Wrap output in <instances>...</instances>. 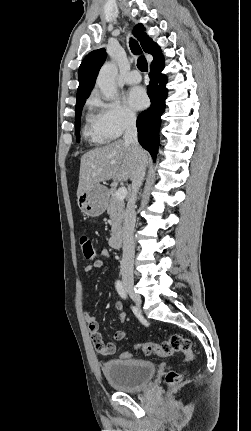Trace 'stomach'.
Segmentation results:
<instances>
[{"label":"stomach","mask_w":251,"mask_h":431,"mask_svg":"<svg viewBox=\"0 0 251 431\" xmlns=\"http://www.w3.org/2000/svg\"><path fill=\"white\" fill-rule=\"evenodd\" d=\"M78 207L88 217L102 215L108 206V190L105 186L97 184L78 197Z\"/></svg>","instance_id":"stomach-1"}]
</instances>
